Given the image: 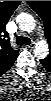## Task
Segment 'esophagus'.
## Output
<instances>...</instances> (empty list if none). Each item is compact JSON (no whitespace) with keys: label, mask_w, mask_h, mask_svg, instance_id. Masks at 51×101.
<instances>
[{"label":"esophagus","mask_w":51,"mask_h":101,"mask_svg":"<svg viewBox=\"0 0 51 101\" xmlns=\"http://www.w3.org/2000/svg\"><path fill=\"white\" fill-rule=\"evenodd\" d=\"M35 46V42H32L31 44H29L27 47L28 48H33Z\"/></svg>","instance_id":"obj_1"}]
</instances>
